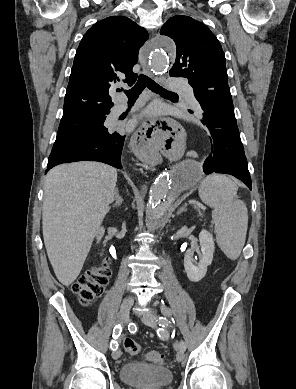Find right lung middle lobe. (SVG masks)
I'll return each instance as SVG.
<instances>
[{
    "mask_svg": "<svg viewBox=\"0 0 296 389\" xmlns=\"http://www.w3.org/2000/svg\"><path fill=\"white\" fill-rule=\"evenodd\" d=\"M107 114L109 113H83L62 117L54 145L108 131L104 126Z\"/></svg>",
    "mask_w": 296,
    "mask_h": 389,
    "instance_id": "right-lung-middle-lobe-1",
    "label": "right lung middle lobe"
}]
</instances>
